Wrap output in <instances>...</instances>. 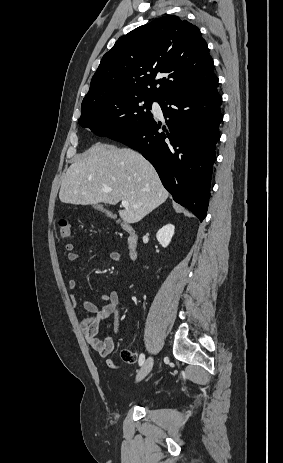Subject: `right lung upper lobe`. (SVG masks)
I'll return each instance as SVG.
<instances>
[{"label": "right lung upper lobe", "instance_id": "right-lung-upper-lobe-1", "mask_svg": "<svg viewBox=\"0 0 283 463\" xmlns=\"http://www.w3.org/2000/svg\"><path fill=\"white\" fill-rule=\"evenodd\" d=\"M213 64L198 27L164 16L117 40L103 56L82 105L112 95L160 100L214 79Z\"/></svg>", "mask_w": 283, "mask_h": 463}]
</instances>
